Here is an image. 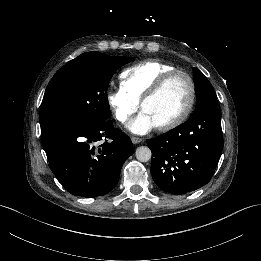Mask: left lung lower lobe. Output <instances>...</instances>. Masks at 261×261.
I'll return each instance as SVG.
<instances>
[{"label":"left lung lower lobe","instance_id":"0a47b994","mask_svg":"<svg viewBox=\"0 0 261 261\" xmlns=\"http://www.w3.org/2000/svg\"><path fill=\"white\" fill-rule=\"evenodd\" d=\"M147 144L153 150L151 174L161 190L176 195L195 191L211 180L222 153L220 111L205 108Z\"/></svg>","mask_w":261,"mask_h":261}]
</instances>
